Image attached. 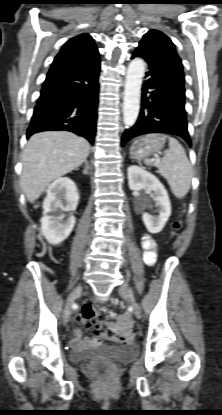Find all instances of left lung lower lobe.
<instances>
[{"instance_id": "1", "label": "left lung lower lobe", "mask_w": 222, "mask_h": 415, "mask_svg": "<svg viewBox=\"0 0 222 415\" xmlns=\"http://www.w3.org/2000/svg\"><path fill=\"white\" fill-rule=\"evenodd\" d=\"M143 58L148 65L142 88L140 115L122 136V146L147 133H167L181 137L190 146L185 111L184 73L176 50L165 44L141 40L132 59Z\"/></svg>"}]
</instances>
